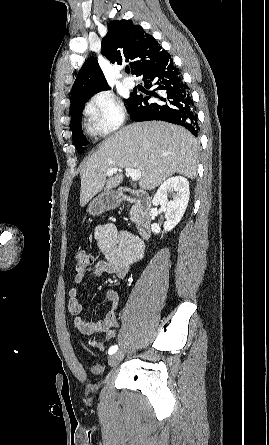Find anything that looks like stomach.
Instances as JSON below:
<instances>
[{
    "label": "stomach",
    "instance_id": "stomach-1",
    "mask_svg": "<svg viewBox=\"0 0 269 445\" xmlns=\"http://www.w3.org/2000/svg\"><path fill=\"white\" fill-rule=\"evenodd\" d=\"M120 202L121 195L118 191H105L90 202L87 212L93 216H97L104 211L115 209Z\"/></svg>",
    "mask_w": 269,
    "mask_h": 445
}]
</instances>
